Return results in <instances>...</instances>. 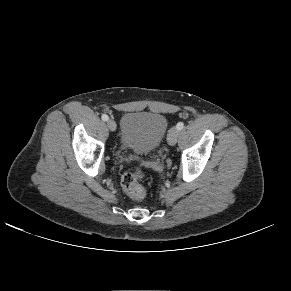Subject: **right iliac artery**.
Here are the masks:
<instances>
[{"instance_id": "1", "label": "right iliac artery", "mask_w": 291, "mask_h": 291, "mask_svg": "<svg viewBox=\"0 0 291 291\" xmlns=\"http://www.w3.org/2000/svg\"><path fill=\"white\" fill-rule=\"evenodd\" d=\"M101 118L103 121H108L109 119V117L106 114H103Z\"/></svg>"}]
</instances>
